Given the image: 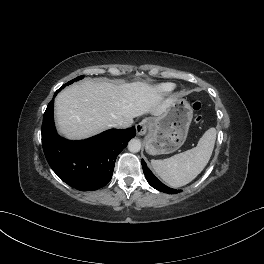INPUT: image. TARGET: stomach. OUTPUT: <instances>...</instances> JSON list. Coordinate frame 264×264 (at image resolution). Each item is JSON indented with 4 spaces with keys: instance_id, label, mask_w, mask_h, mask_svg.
<instances>
[{
    "instance_id": "0dacf381",
    "label": "stomach",
    "mask_w": 264,
    "mask_h": 264,
    "mask_svg": "<svg viewBox=\"0 0 264 264\" xmlns=\"http://www.w3.org/2000/svg\"><path fill=\"white\" fill-rule=\"evenodd\" d=\"M193 109L186 99L176 98L160 116L152 119V126L145 140V150L150 155L169 154L185 142Z\"/></svg>"
}]
</instances>
